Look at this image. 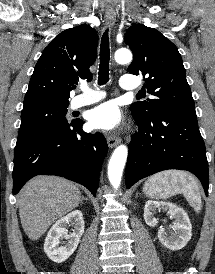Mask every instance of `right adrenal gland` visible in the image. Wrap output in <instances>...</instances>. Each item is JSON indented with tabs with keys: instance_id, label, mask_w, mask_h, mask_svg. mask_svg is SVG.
<instances>
[{
	"instance_id": "2a0ac1e0",
	"label": "right adrenal gland",
	"mask_w": 215,
	"mask_h": 274,
	"mask_svg": "<svg viewBox=\"0 0 215 274\" xmlns=\"http://www.w3.org/2000/svg\"><path fill=\"white\" fill-rule=\"evenodd\" d=\"M83 199L87 200V198L82 197V200H83Z\"/></svg>"
}]
</instances>
